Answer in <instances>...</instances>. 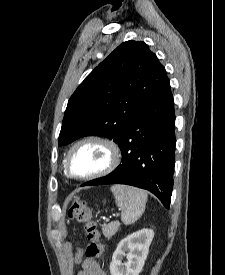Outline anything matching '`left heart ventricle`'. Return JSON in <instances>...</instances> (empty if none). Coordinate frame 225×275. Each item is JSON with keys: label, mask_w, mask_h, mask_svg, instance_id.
I'll use <instances>...</instances> for the list:
<instances>
[{"label": "left heart ventricle", "mask_w": 225, "mask_h": 275, "mask_svg": "<svg viewBox=\"0 0 225 275\" xmlns=\"http://www.w3.org/2000/svg\"><path fill=\"white\" fill-rule=\"evenodd\" d=\"M108 161L104 147L88 143L79 146L71 155L70 168L74 174L85 175L102 169Z\"/></svg>", "instance_id": "left-heart-ventricle-1"}]
</instances>
